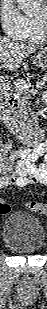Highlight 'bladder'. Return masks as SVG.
I'll list each match as a JSON object with an SVG mask.
<instances>
[{"mask_svg": "<svg viewBox=\"0 0 47 309\" xmlns=\"http://www.w3.org/2000/svg\"><path fill=\"white\" fill-rule=\"evenodd\" d=\"M2 237L5 247L16 254H36L45 245L43 225L26 212H15L6 218Z\"/></svg>", "mask_w": 47, "mask_h": 309, "instance_id": "bladder-1", "label": "bladder"}]
</instances>
